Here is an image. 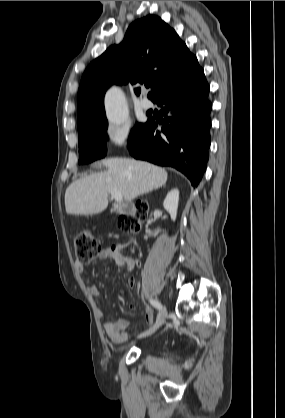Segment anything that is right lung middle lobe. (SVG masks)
Returning a JSON list of instances; mask_svg holds the SVG:
<instances>
[{
    "label": "right lung middle lobe",
    "instance_id": "right-lung-middle-lobe-1",
    "mask_svg": "<svg viewBox=\"0 0 285 418\" xmlns=\"http://www.w3.org/2000/svg\"><path fill=\"white\" fill-rule=\"evenodd\" d=\"M145 124L137 123L129 136V140L139 132ZM79 135V164H87L105 157L107 153L106 139L108 122L105 113L90 121L77 125Z\"/></svg>",
    "mask_w": 285,
    "mask_h": 418
}]
</instances>
